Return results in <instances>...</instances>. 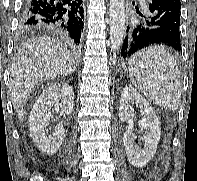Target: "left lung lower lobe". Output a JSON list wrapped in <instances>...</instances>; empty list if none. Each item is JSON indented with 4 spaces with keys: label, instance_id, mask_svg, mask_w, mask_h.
Listing matches in <instances>:
<instances>
[{
    "label": "left lung lower lobe",
    "instance_id": "1",
    "mask_svg": "<svg viewBox=\"0 0 197 181\" xmlns=\"http://www.w3.org/2000/svg\"><path fill=\"white\" fill-rule=\"evenodd\" d=\"M180 0H151L144 19L127 27L120 55L128 58L152 44H163L179 51Z\"/></svg>",
    "mask_w": 197,
    "mask_h": 181
}]
</instances>
